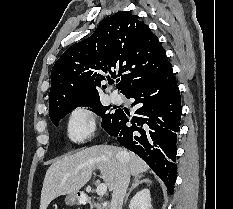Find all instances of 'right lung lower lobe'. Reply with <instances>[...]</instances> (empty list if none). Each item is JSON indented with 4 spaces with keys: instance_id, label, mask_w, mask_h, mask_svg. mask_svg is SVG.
Instances as JSON below:
<instances>
[{
    "instance_id": "98d812e1",
    "label": "right lung lower lobe",
    "mask_w": 233,
    "mask_h": 209,
    "mask_svg": "<svg viewBox=\"0 0 233 209\" xmlns=\"http://www.w3.org/2000/svg\"><path fill=\"white\" fill-rule=\"evenodd\" d=\"M139 104L136 116L118 110L105 129L118 142L139 155L163 180L172 194L176 181V140L180 130L181 97L172 66L155 80L125 95ZM131 123V125H126Z\"/></svg>"
}]
</instances>
